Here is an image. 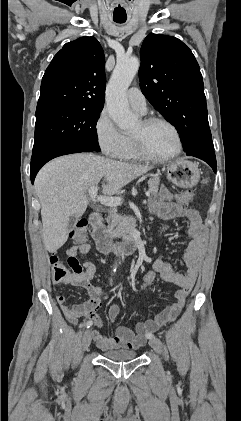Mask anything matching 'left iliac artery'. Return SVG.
<instances>
[{"instance_id": "44dca946", "label": "left iliac artery", "mask_w": 241, "mask_h": 421, "mask_svg": "<svg viewBox=\"0 0 241 421\" xmlns=\"http://www.w3.org/2000/svg\"><path fill=\"white\" fill-rule=\"evenodd\" d=\"M149 338H150V339H152L153 337H152V336H150Z\"/></svg>"}]
</instances>
